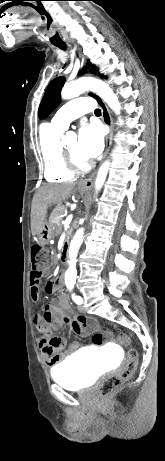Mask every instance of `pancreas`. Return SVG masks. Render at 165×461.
Masks as SVG:
<instances>
[{
  "instance_id": "pancreas-1",
  "label": "pancreas",
  "mask_w": 165,
  "mask_h": 461,
  "mask_svg": "<svg viewBox=\"0 0 165 461\" xmlns=\"http://www.w3.org/2000/svg\"><path fill=\"white\" fill-rule=\"evenodd\" d=\"M64 210H65L64 206H57L53 210L49 218V223L51 227L54 229V232H56L57 234L60 233L62 230L61 215L64 213Z\"/></svg>"
}]
</instances>
